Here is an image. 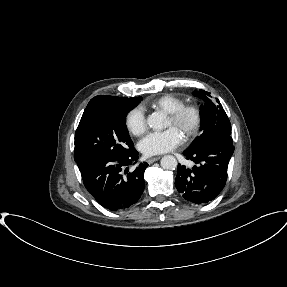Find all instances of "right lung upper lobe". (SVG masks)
<instances>
[{"label":"right lung upper lobe","mask_w":287,"mask_h":287,"mask_svg":"<svg viewBox=\"0 0 287 287\" xmlns=\"http://www.w3.org/2000/svg\"><path fill=\"white\" fill-rule=\"evenodd\" d=\"M121 98H124V97L99 95V96L92 98L90 102L88 103L87 107L85 108L78 126L80 127L86 121H88L93 115H95L102 108L103 105L111 104L117 100H120Z\"/></svg>","instance_id":"right-lung-upper-lobe-1"}]
</instances>
